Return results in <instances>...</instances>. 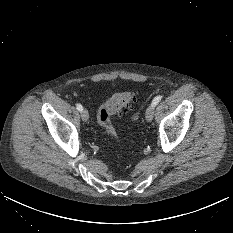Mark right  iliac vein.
<instances>
[{"label": "right iliac vein", "mask_w": 233, "mask_h": 233, "mask_svg": "<svg viewBox=\"0 0 233 233\" xmlns=\"http://www.w3.org/2000/svg\"><path fill=\"white\" fill-rule=\"evenodd\" d=\"M81 118L85 122L88 121V119H89V113H88V111L86 109H83L81 111Z\"/></svg>", "instance_id": "1"}]
</instances>
